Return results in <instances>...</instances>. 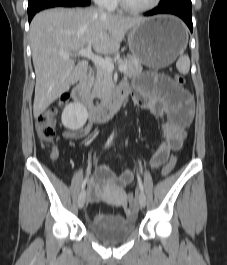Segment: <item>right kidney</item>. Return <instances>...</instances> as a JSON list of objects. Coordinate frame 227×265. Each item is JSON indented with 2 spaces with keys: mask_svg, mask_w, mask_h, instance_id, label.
<instances>
[{
  "mask_svg": "<svg viewBox=\"0 0 227 265\" xmlns=\"http://www.w3.org/2000/svg\"><path fill=\"white\" fill-rule=\"evenodd\" d=\"M88 118L86 107L78 102L67 105L62 113V124L65 128L76 131L81 129Z\"/></svg>",
  "mask_w": 227,
  "mask_h": 265,
  "instance_id": "ca27d5eb",
  "label": "right kidney"
}]
</instances>
